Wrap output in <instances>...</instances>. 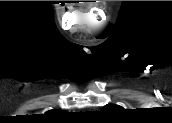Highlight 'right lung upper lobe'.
<instances>
[{
	"label": "right lung upper lobe",
	"mask_w": 172,
	"mask_h": 123,
	"mask_svg": "<svg viewBox=\"0 0 172 123\" xmlns=\"http://www.w3.org/2000/svg\"><path fill=\"white\" fill-rule=\"evenodd\" d=\"M57 112H60V111H58V110H51V111H49L47 113H49V114H56Z\"/></svg>",
	"instance_id": "obj_1"
}]
</instances>
